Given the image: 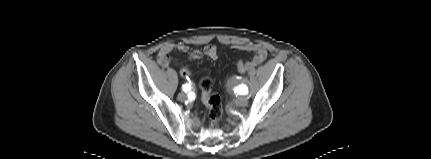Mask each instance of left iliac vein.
<instances>
[{
  "instance_id": "left-iliac-vein-1",
  "label": "left iliac vein",
  "mask_w": 431,
  "mask_h": 159,
  "mask_svg": "<svg viewBox=\"0 0 431 159\" xmlns=\"http://www.w3.org/2000/svg\"><path fill=\"white\" fill-rule=\"evenodd\" d=\"M246 102H247L246 97H244V96L239 97V99H238V103H239L240 105H245V104H246Z\"/></svg>"
}]
</instances>
